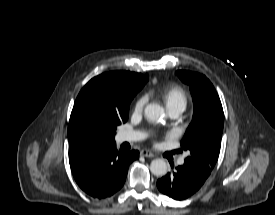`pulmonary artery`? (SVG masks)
<instances>
[{
    "label": "pulmonary artery",
    "instance_id": "1",
    "mask_svg": "<svg viewBox=\"0 0 275 215\" xmlns=\"http://www.w3.org/2000/svg\"><path fill=\"white\" fill-rule=\"evenodd\" d=\"M184 107H173V108H170L168 109L169 111V115L172 117V118H176L178 116H180L182 114V112L184 111ZM143 138V135L140 133V132H136V131H122L120 134H119V140L121 142H131V141H136V140H140ZM184 163V158H180L178 160V164L179 165H182Z\"/></svg>",
    "mask_w": 275,
    "mask_h": 215
}]
</instances>
